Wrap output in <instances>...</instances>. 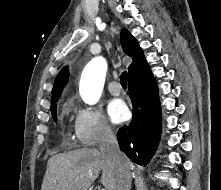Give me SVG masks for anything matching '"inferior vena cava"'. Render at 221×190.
I'll list each match as a JSON object with an SVG mask.
<instances>
[{
  "label": "inferior vena cava",
  "instance_id": "inferior-vena-cava-1",
  "mask_svg": "<svg viewBox=\"0 0 221 190\" xmlns=\"http://www.w3.org/2000/svg\"><path fill=\"white\" fill-rule=\"evenodd\" d=\"M99 148L101 153L105 154L117 169L118 181L115 190H130V163L126 159L125 155L120 151L117 138L108 126H105L102 130Z\"/></svg>",
  "mask_w": 221,
  "mask_h": 190
}]
</instances>
